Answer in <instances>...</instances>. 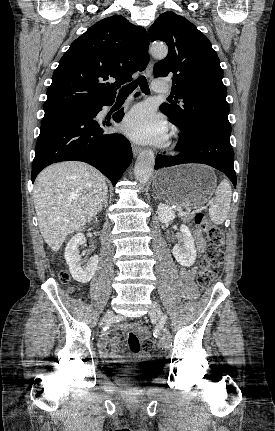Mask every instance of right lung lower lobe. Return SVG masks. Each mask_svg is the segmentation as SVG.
<instances>
[{"label":"right lung lower lobe","mask_w":275,"mask_h":431,"mask_svg":"<svg viewBox=\"0 0 275 431\" xmlns=\"http://www.w3.org/2000/svg\"><path fill=\"white\" fill-rule=\"evenodd\" d=\"M113 101L45 112L32 163V183L46 166L67 160L86 162L113 185L117 183L131 163L132 148L123 135L104 131L112 125L109 119H96L102 107ZM123 116L121 109L113 119L120 122Z\"/></svg>","instance_id":"right-lung-lower-lobe-1"}]
</instances>
